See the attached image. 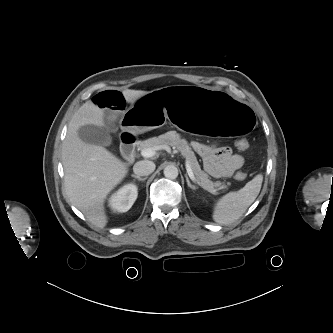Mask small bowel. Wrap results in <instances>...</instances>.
Instances as JSON below:
<instances>
[{
    "instance_id": "obj_1",
    "label": "small bowel",
    "mask_w": 333,
    "mask_h": 333,
    "mask_svg": "<svg viewBox=\"0 0 333 333\" xmlns=\"http://www.w3.org/2000/svg\"><path fill=\"white\" fill-rule=\"evenodd\" d=\"M126 103L125 96L116 90L102 91L91 101L92 106L105 112L108 123H113L119 117L125 110ZM192 147L202 158L207 173L215 178L230 177L244 162L241 155L232 153L228 147L207 145L197 141L192 143Z\"/></svg>"
}]
</instances>
